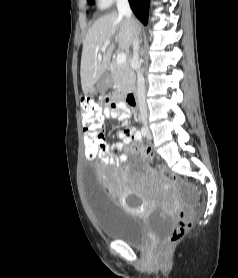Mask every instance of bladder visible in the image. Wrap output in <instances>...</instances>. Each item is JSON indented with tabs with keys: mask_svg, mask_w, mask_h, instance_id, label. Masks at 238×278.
<instances>
[{
	"mask_svg": "<svg viewBox=\"0 0 238 278\" xmlns=\"http://www.w3.org/2000/svg\"><path fill=\"white\" fill-rule=\"evenodd\" d=\"M95 179V169H84V180ZM85 185L95 224L106 238L121 240L131 246H142L151 234L163 233L174 224L168 215H155L147 221L127 212L106 189L99 186V181H86Z\"/></svg>",
	"mask_w": 238,
	"mask_h": 278,
	"instance_id": "bladder-1",
	"label": "bladder"
}]
</instances>
